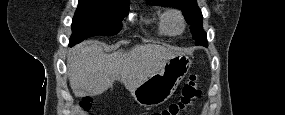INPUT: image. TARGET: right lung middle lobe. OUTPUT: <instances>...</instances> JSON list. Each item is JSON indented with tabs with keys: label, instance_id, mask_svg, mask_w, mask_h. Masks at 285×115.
Wrapping results in <instances>:
<instances>
[{
	"label": "right lung middle lobe",
	"instance_id": "1",
	"mask_svg": "<svg viewBox=\"0 0 285 115\" xmlns=\"http://www.w3.org/2000/svg\"><path fill=\"white\" fill-rule=\"evenodd\" d=\"M129 2L79 0L72 23L70 46L96 35H115L128 14Z\"/></svg>",
	"mask_w": 285,
	"mask_h": 115
}]
</instances>
